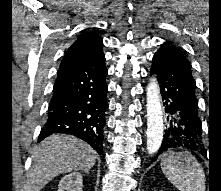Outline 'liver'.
<instances>
[{"label": "liver", "mask_w": 221, "mask_h": 191, "mask_svg": "<svg viewBox=\"0 0 221 191\" xmlns=\"http://www.w3.org/2000/svg\"><path fill=\"white\" fill-rule=\"evenodd\" d=\"M32 158L27 191H40L60 174L76 170L88 172L96 162V152L76 137L55 134L34 149Z\"/></svg>", "instance_id": "1"}]
</instances>
